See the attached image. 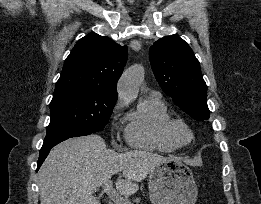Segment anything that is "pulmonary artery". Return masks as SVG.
Segmentation results:
<instances>
[{"mask_svg":"<svg viewBox=\"0 0 261 204\" xmlns=\"http://www.w3.org/2000/svg\"><path fill=\"white\" fill-rule=\"evenodd\" d=\"M149 97H160V94L156 91H152L149 93Z\"/></svg>","mask_w":261,"mask_h":204,"instance_id":"pulmonary-artery-1","label":"pulmonary artery"}]
</instances>
